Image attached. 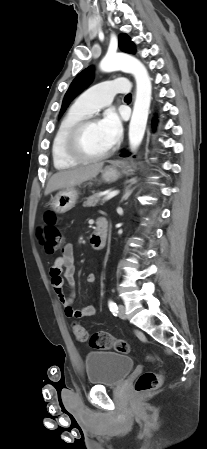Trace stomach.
Here are the masks:
<instances>
[{
    "instance_id": "obj_1",
    "label": "stomach",
    "mask_w": 207,
    "mask_h": 449,
    "mask_svg": "<svg viewBox=\"0 0 207 449\" xmlns=\"http://www.w3.org/2000/svg\"><path fill=\"white\" fill-rule=\"evenodd\" d=\"M132 172L133 169L131 166L126 163H117L101 170V177L105 182H113L119 179L123 174L129 175ZM78 194L79 192L74 187L59 191L55 197L52 198V210L58 214H63L71 210L76 204Z\"/></svg>"
}]
</instances>
